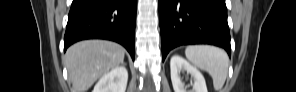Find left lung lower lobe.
<instances>
[{
	"label": "left lung lower lobe",
	"mask_w": 296,
	"mask_h": 92,
	"mask_svg": "<svg viewBox=\"0 0 296 92\" xmlns=\"http://www.w3.org/2000/svg\"><path fill=\"white\" fill-rule=\"evenodd\" d=\"M162 59L173 48L211 44L231 55L225 0H159Z\"/></svg>",
	"instance_id": "obj_1"
}]
</instances>
